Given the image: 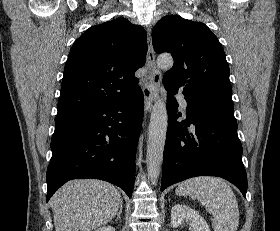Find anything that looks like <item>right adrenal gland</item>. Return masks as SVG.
<instances>
[{"label": "right adrenal gland", "instance_id": "2a0ac1e0", "mask_svg": "<svg viewBox=\"0 0 280 231\" xmlns=\"http://www.w3.org/2000/svg\"><path fill=\"white\" fill-rule=\"evenodd\" d=\"M123 211V205L121 203L120 207H119V211H116L114 217H120L121 213Z\"/></svg>", "mask_w": 280, "mask_h": 231}]
</instances>
